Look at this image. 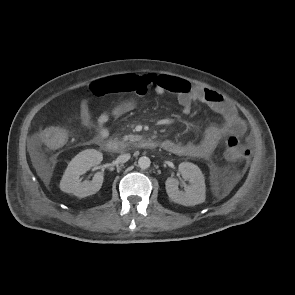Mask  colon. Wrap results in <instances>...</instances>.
Here are the masks:
<instances>
[{"label": "colon", "instance_id": "obj_1", "mask_svg": "<svg viewBox=\"0 0 295 295\" xmlns=\"http://www.w3.org/2000/svg\"><path fill=\"white\" fill-rule=\"evenodd\" d=\"M43 143L51 148L57 149L63 146L67 140L66 133L59 128H46L40 135ZM251 151L244 146L237 137H229L226 141L225 156L238 163V171H243L250 158Z\"/></svg>", "mask_w": 295, "mask_h": 295}]
</instances>
